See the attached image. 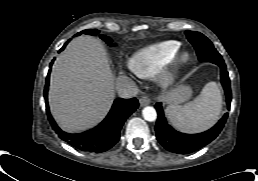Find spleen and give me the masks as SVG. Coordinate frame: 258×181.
I'll use <instances>...</instances> for the list:
<instances>
[{
    "label": "spleen",
    "mask_w": 258,
    "mask_h": 181,
    "mask_svg": "<svg viewBox=\"0 0 258 181\" xmlns=\"http://www.w3.org/2000/svg\"><path fill=\"white\" fill-rule=\"evenodd\" d=\"M222 109V94L216 82L207 83L200 95L184 106L169 105L165 112L170 123L186 133H197L209 129Z\"/></svg>",
    "instance_id": "spleen-1"
}]
</instances>
